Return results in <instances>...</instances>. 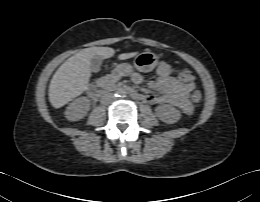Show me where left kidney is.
Instances as JSON below:
<instances>
[{
  "mask_svg": "<svg viewBox=\"0 0 260 202\" xmlns=\"http://www.w3.org/2000/svg\"><path fill=\"white\" fill-rule=\"evenodd\" d=\"M156 116L164 123L174 124L178 122L181 118V112L175 107L164 104L156 107Z\"/></svg>",
  "mask_w": 260,
  "mask_h": 202,
  "instance_id": "1",
  "label": "left kidney"
}]
</instances>
